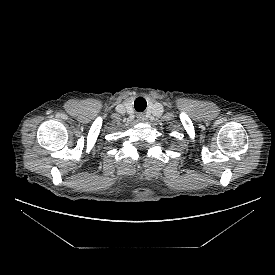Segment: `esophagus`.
Listing matches in <instances>:
<instances>
[{
    "mask_svg": "<svg viewBox=\"0 0 275 275\" xmlns=\"http://www.w3.org/2000/svg\"><path fill=\"white\" fill-rule=\"evenodd\" d=\"M137 119L141 122H144L146 120V116L143 113L137 114Z\"/></svg>",
    "mask_w": 275,
    "mask_h": 275,
    "instance_id": "34e87169",
    "label": "esophagus"
}]
</instances>
